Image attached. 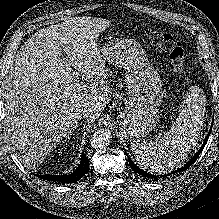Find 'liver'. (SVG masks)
<instances>
[{"mask_svg":"<svg viewBox=\"0 0 219 219\" xmlns=\"http://www.w3.org/2000/svg\"><path fill=\"white\" fill-rule=\"evenodd\" d=\"M109 25L102 18H68L36 32L15 55L3 115L7 137L29 167L78 126V108L90 110L92 123L110 102L112 88L95 42Z\"/></svg>","mask_w":219,"mask_h":219,"instance_id":"1","label":"liver"}]
</instances>
